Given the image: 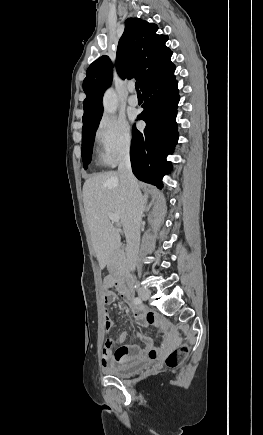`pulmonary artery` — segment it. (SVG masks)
Returning a JSON list of instances; mask_svg holds the SVG:
<instances>
[{
	"label": "pulmonary artery",
	"instance_id": "obj_1",
	"mask_svg": "<svg viewBox=\"0 0 263 435\" xmlns=\"http://www.w3.org/2000/svg\"><path fill=\"white\" fill-rule=\"evenodd\" d=\"M128 103L130 105H132V106H137L138 105V98L134 94V88H133V86L130 87V96L128 97Z\"/></svg>",
	"mask_w": 263,
	"mask_h": 435
}]
</instances>
